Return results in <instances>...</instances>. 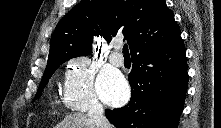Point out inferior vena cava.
<instances>
[{
    "label": "inferior vena cava",
    "mask_w": 221,
    "mask_h": 128,
    "mask_svg": "<svg viewBox=\"0 0 221 128\" xmlns=\"http://www.w3.org/2000/svg\"><path fill=\"white\" fill-rule=\"evenodd\" d=\"M90 121L95 123L96 128H111L110 123L104 116V109L98 101H92L87 113Z\"/></svg>",
    "instance_id": "inferior-vena-cava-1"
}]
</instances>
